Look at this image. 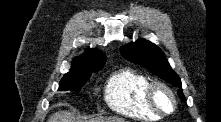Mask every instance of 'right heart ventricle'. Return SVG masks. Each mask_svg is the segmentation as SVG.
Wrapping results in <instances>:
<instances>
[{
	"mask_svg": "<svg viewBox=\"0 0 221 122\" xmlns=\"http://www.w3.org/2000/svg\"><path fill=\"white\" fill-rule=\"evenodd\" d=\"M150 80L133 68H122L110 75L104 88L107 105L116 113L135 119L155 121L160 118L148 105L146 88Z\"/></svg>",
	"mask_w": 221,
	"mask_h": 122,
	"instance_id": "e07e8e85",
	"label": "right heart ventricle"
}]
</instances>
